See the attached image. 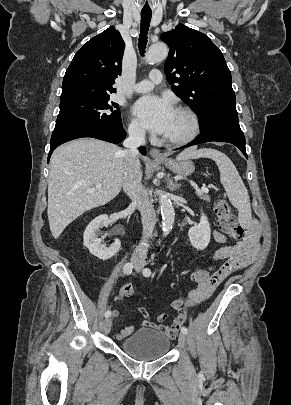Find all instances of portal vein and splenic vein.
<instances>
[{
    "label": "portal vein and splenic vein",
    "mask_w": 291,
    "mask_h": 405,
    "mask_svg": "<svg viewBox=\"0 0 291 405\" xmlns=\"http://www.w3.org/2000/svg\"><path fill=\"white\" fill-rule=\"evenodd\" d=\"M101 186H102V184H100V183L96 185V187H98V188L101 187ZM199 191H200L201 193H208V192H209L208 188L205 187V186H202Z\"/></svg>",
    "instance_id": "1"
}]
</instances>
